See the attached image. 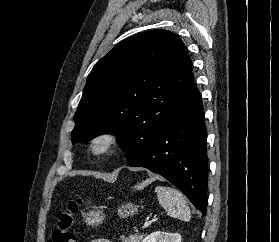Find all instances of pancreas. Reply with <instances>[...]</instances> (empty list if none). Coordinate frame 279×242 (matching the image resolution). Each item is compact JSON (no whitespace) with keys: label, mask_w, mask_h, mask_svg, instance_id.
Masks as SVG:
<instances>
[{"label":"pancreas","mask_w":279,"mask_h":242,"mask_svg":"<svg viewBox=\"0 0 279 242\" xmlns=\"http://www.w3.org/2000/svg\"><path fill=\"white\" fill-rule=\"evenodd\" d=\"M122 242H140L143 239V235L135 234L130 235L129 237L120 236Z\"/></svg>","instance_id":"obj_1"}]
</instances>
